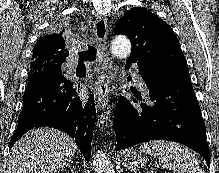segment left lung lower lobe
<instances>
[{"label":"left lung lower lobe","instance_id":"left-lung-lower-lobe-1","mask_svg":"<svg viewBox=\"0 0 219 173\" xmlns=\"http://www.w3.org/2000/svg\"><path fill=\"white\" fill-rule=\"evenodd\" d=\"M126 63L130 67L134 62L127 60ZM138 67L149 88L151 104L139 105L126 98L119 99L113 122L116 151L149 140L165 139L195 150L209 166L205 123L191 81L165 83L163 71L153 66L138 64Z\"/></svg>","mask_w":219,"mask_h":173}]
</instances>
